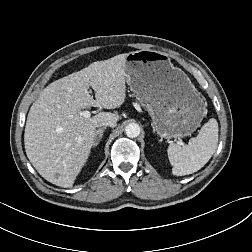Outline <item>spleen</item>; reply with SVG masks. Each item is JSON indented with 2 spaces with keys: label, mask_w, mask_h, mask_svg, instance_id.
<instances>
[{
  "label": "spleen",
  "mask_w": 252,
  "mask_h": 252,
  "mask_svg": "<svg viewBox=\"0 0 252 252\" xmlns=\"http://www.w3.org/2000/svg\"><path fill=\"white\" fill-rule=\"evenodd\" d=\"M218 144V123L214 118L206 122L199 134L184 146L170 144L167 152L172 173L176 176L200 170L213 156Z\"/></svg>",
  "instance_id": "spleen-1"
}]
</instances>
